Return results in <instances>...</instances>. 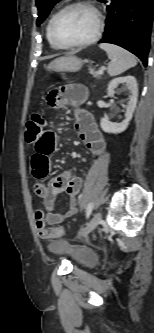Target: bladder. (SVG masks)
<instances>
[{
	"label": "bladder",
	"instance_id": "bladder-1",
	"mask_svg": "<svg viewBox=\"0 0 154 333\" xmlns=\"http://www.w3.org/2000/svg\"><path fill=\"white\" fill-rule=\"evenodd\" d=\"M51 252L59 255H66L70 258L73 265L81 268H91L96 262L95 253L86 247L74 246L69 240L59 238L48 244Z\"/></svg>",
	"mask_w": 154,
	"mask_h": 333
}]
</instances>
